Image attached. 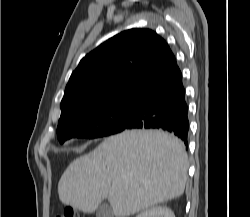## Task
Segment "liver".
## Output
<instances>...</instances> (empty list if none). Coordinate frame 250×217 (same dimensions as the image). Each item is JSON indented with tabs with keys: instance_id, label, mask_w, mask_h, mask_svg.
<instances>
[{
	"instance_id": "obj_1",
	"label": "liver",
	"mask_w": 250,
	"mask_h": 217,
	"mask_svg": "<svg viewBox=\"0 0 250 217\" xmlns=\"http://www.w3.org/2000/svg\"><path fill=\"white\" fill-rule=\"evenodd\" d=\"M188 158L183 143L156 130H131L106 138L76 158L58 183L60 201L93 213L108 199L116 217H127L181 196Z\"/></svg>"
}]
</instances>
